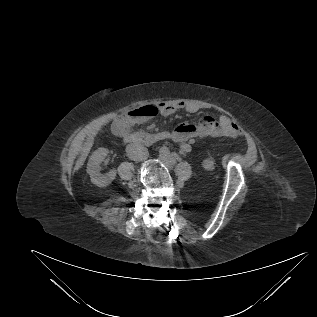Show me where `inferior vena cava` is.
<instances>
[{
  "mask_svg": "<svg viewBox=\"0 0 317 317\" xmlns=\"http://www.w3.org/2000/svg\"><path fill=\"white\" fill-rule=\"evenodd\" d=\"M126 153L129 159L134 161H144L148 157V149L139 143L128 144Z\"/></svg>",
  "mask_w": 317,
  "mask_h": 317,
  "instance_id": "obj_1",
  "label": "inferior vena cava"
}]
</instances>
